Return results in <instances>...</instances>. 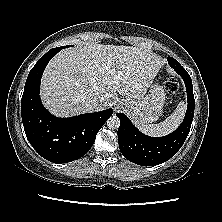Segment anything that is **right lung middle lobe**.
I'll return each instance as SVG.
<instances>
[{"label": "right lung middle lobe", "mask_w": 222, "mask_h": 222, "mask_svg": "<svg viewBox=\"0 0 222 222\" xmlns=\"http://www.w3.org/2000/svg\"><path fill=\"white\" fill-rule=\"evenodd\" d=\"M67 47H70V46H62V47H58V48H56V49L61 50V49L67 48Z\"/></svg>", "instance_id": "obj_1"}]
</instances>
